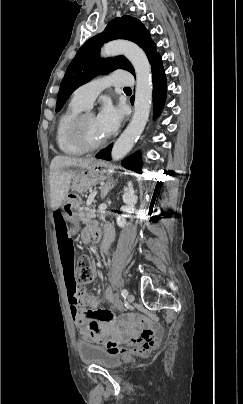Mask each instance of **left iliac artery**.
Segmentation results:
<instances>
[{
	"instance_id": "obj_1",
	"label": "left iliac artery",
	"mask_w": 243,
	"mask_h": 404,
	"mask_svg": "<svg viewBox=\"0 0 243 404\" xmlns=\"http://www.w3.org/2000/svg\"><path fill=\"white\" fill-rule=\"evenodd\" d=\"M121 295H122L123 298H126L127 295H128V291L126 289H122Z\"/></svg>"
}]
</instances>
